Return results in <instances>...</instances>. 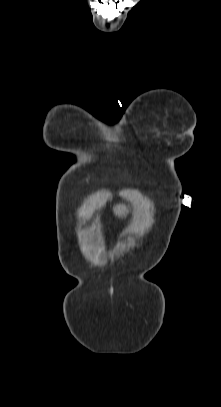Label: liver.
I'll use <instances>...</instances> for the list:
<instances>
[{
	"mask_svg": "<svg viewBox=\"0 0 221 407\" xmlns=\"http://www.w3.org/2000/svg\"><path fill=\"white\" fill-rule=\"evenodd\" d=\"M113 211H114V214L116 215V216H119V217H121L122 215H125V213L127 212L126 211V207L125 206H123V205H116L114 208H113Z\"/></svg>",
	"mask_w": 221,
	"mask_h": 407,
	"instance_id": "6515ba94",
	"label": "liver"
}]
</instances>
